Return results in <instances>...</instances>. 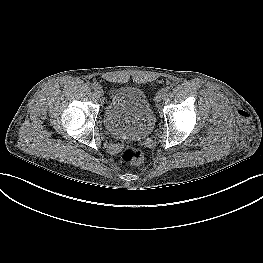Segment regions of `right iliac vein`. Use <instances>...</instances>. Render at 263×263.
I'll list each match as a JSON object with an SVG mask.
<instances>
[{"mask_svg":"<svg viewBox=\"0 0 263 263\" xmlns=\"http://www.w3.org/2000/svg\"><path fill=\"white\" fill-rule=\"evenodd\" d=\"M102 94H103V91H102L101 87L99 89H96V95L97 96H102Z\"/></svg>","mask_w":263,"mask_h":263,"instance_id":"63e3f726","label":"right iliac vein"}]
</instances>
